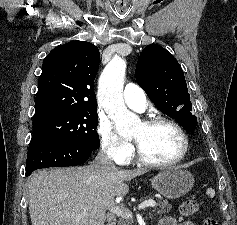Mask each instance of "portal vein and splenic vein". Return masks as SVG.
<instances>
[{"label": "portal vein and splenic vein", "mask_w": 237, "mask_h": 225, "mask_svg": "<svg viewBox=\"0 0 237 225\" xmlns=\"http://www.w3.org/2000/svg\"><path fill=\"white\" fill-rule=\"evenodd\" d=\"M156 206V202L154 200H145L142 203H140L137 206V210H144L145 208L148 207H155ZM109 211L113 214H116L118 216H121L123 218H131L132 217V213L130 212V210H128L125 207L122 206H113L109 209Z\"/></svg>", "instance_id": "obj_1"}]
</instances>
